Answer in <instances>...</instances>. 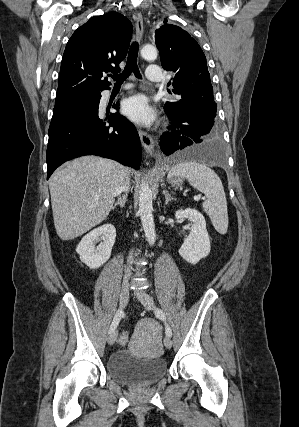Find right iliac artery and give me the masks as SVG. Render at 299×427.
I'll use <instances>...</instances> for the list:
<instances>
[{"label":"right iliac artery","mask_w":299,"mask_h":427,"mask_svg":"<svg viewBox=\"0 0 299 427\" xmlns=\"http://www.w3.org/2000/svg\"><path fill=\"white\" fill-rule=\"evenodd\" d=\"M122 316H123V311L122 310H118L117 313H116V315L114 316L112 324H111V326L109 328V333H112L116 329V327L118 326V324H119Z\"/></svg>","instance_id":"1"}]
</instances>
